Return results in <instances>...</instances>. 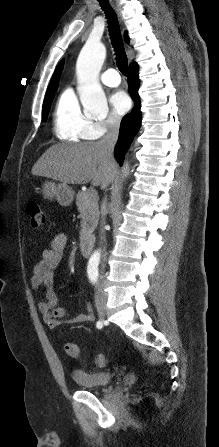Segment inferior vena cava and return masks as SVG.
I'll use <instances>...</instances> for the list:
<instances>
[{
  "label": "inferior vena cava",
  "instance_id": "1",
  "mask_svg": "<svg viewBox=\"0 0 219 447\" xmlns=\"http://www.w3.org/2000/svg\"><path fill=\"white\" fill-rule=\"evenodd\" d=\"M119 124H120V118L119 117H114L112 119V121L109 123L108 126V130L106 135L100 140V144L102 145L107 157L109 159H113V152H114V147L115 144L117 142L118 139V134H119ZM102 188H106V185H103ZM106 205H107V200L106 198H104L103 202H102V217H101V221H100V240H101V244H103L104 242L106 243V238H105V230H104V225H105V210H106ZM105 246H103L102 248V262H101V271L100 273L103 275L104 272V268H105ZM103 290H102V279L99 282L96 294H95V299L96 301H98L99 299L103 298Z\"/></svg>",
  "mask_w": 219,
  "mask_h": 447
}]
</instances>
